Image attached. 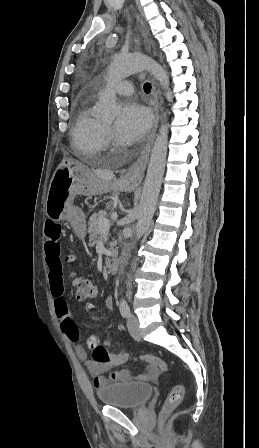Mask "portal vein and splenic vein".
<instances>
[{"label": "portal vein and splenic vein", "instance_id": "1", "mask_svg": "<svg viewBox=\"0 0 259 448\" xmlns=\"http://www.w3.org/2000/svg\"><path fill=\"white\" fill-rule=\"evenodd\" d=\"M113 218H117V216H113ZM98 228L100 230V232H108L109 228H110V220H107V218H101L99 224H98Z\"/></svg>", "mask_w": 259, "mask_h": 448}]
</instances>
